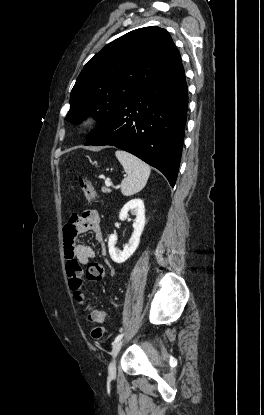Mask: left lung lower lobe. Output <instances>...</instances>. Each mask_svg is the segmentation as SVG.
Instances as JSON below:
<instances>
[{
	"label": "left lung lower lobe",
	"instance_id": "obj_1",
	"mask_svg": "<svg viewBox=\"0 0 264 415\" xmlns=\"http://www.w3.org/2000/svg\"><path fill=\"white\" fill-rule=\"evenodd\" d=\"M188 107L180 63L124 102L85 145H112L160 170L175 185Z\"/></svg>",
	"mask_w": 264,
	"mask_h": 415
}]
</instances>
